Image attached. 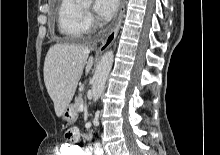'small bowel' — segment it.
Listing matches in <instances>:
<instances>
[{"label": "small bowel", "instance_id": "small-bowel-1", "mask_svg": "<svg viewBox=\"0 0 220 155\" xmlns=\"http://www.w3.org/2000/svg\"><path fill=\"white\" fill-rule=\"evenodd\" d=\"M80 138V133L77 130V126H66L65 130V141L68 143L62 144L61 146H76L72 144H78ZM83 150V155H91V148H81Z\"/></svg>", "mask_w": 220, "mask_h": 155}]
</instances>
